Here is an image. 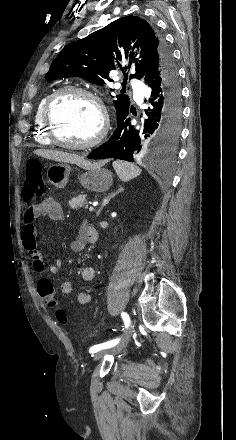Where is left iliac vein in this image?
<instances>
[{
	"instance_id": "1",
	"label": "left iliac vein",
	"mask_w": 236,
	"mask_h": 440,
	"mask_svg": "<svg viewBox=\"0 0 236 440\" xmlns=\"http://www.w3.org/2000/svg\"><path fill=\"white\" fill-rule=\"evenodd\" d=\"M132 333H133V322L130 321L124 338L120 342H118L115 346H113L111 349L99 351L98 353H96L94 355V360H99L108 353H115V352L121 351L126 346L128 341L130 340Z\"/></svg>"
}]
</instances>
